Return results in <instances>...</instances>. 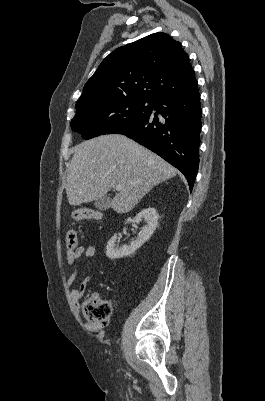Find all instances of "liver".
<instances>
[{
  "label": "liver",
  "mask_w": 265,
  "mask_h": 401,
  "mask_svg": "<svg viewBox=\"0 0 265 401\" xmlns=\"http://www.w3.org/2000/svg\"><path fill=\"white\" fill-rule=\"evenodd\" d=\"M176 174L174 166L124 134H103L75 146L65 188L69 205L77 207L121 184L110 205L122 215L132 211L155 184Z\"/></svg>",
  "instance_id": "1"
}]
</instances>
